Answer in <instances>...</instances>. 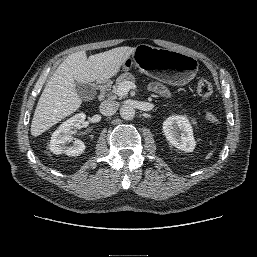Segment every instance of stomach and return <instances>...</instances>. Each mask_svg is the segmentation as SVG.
<instances>
[{
  "label": "stomach",
  "instance_id": "1",
  "mask_svg": "<svg viewBox=\"0 0 257 257\" xmlns=\"http://www.w3.org/2000/svg\"><path fill=\"white\" fill-rule=\"evenodd\" d=\"M133 66L147 76L166 83L185 85L195 77L199 63L195 57L188 54L140 44L122 68L128 71Z\"/></svg>",
  "mask_w": 257,
  "mask_h": 257
}]
</instances>
